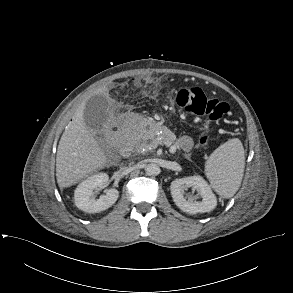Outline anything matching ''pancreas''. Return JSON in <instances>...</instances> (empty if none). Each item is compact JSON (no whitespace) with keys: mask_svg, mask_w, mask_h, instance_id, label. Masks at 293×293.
Wrapping results in <instances>:
<instances>
[{"mask_svg":"<svg viewBox=\"0 0 293 293\" xmlns=\"http://www.w3.org/2000/svg\"><path fill=\"white\" fill-rule=\"evenodd\" d=\"M157 132L156 129H146L142 128L139 133L137 134V137L133 141L136 143V149L139 152H142L144 149V152L151 151L152 149H155L159 144H163L166 138H162L161 140H152L153 136ZM178 145L184 149L185 152H190V149L187 147H184L180 140H177Z\"/></svg>","mask_w":293,"mask_h":293,"instance_id":"obj_1","label":"pancreas"}]
</instances>
